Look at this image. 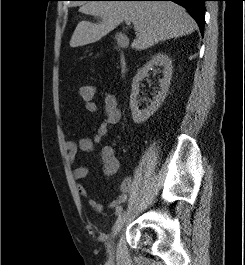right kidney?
Masks as SVG:
<instances>
[{"instance_id": "obj_1", "label": "right kidney", "mask_w": 245, "mask_h": 265, "mask_svg": "<svg viewBox=\"0 0 245 265\" xmlns=\"http://www.w3.org/2000/svg\"><path fill=\"white\" fill-rule=\"evenodd\" d=\"M155 66L163 67V78L159 80L160 91L158 94L153 97V100L150 102L145 109L140 110L139 104L140 99L139 95V87L141 81L148 77V72L154 68ZM172 78V61L171 59L163 53H158L152 57L150 61H148L135 75L132 82V90L130 95V109L132 112V119L134 123L140 124L149 119L151 115H153L156 110L160 107L162 102L164 101L169 86L170 80Z\"/></svg>"}]
</instances>
